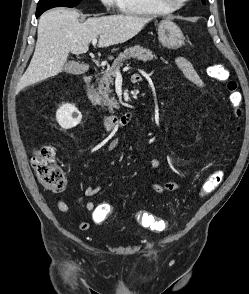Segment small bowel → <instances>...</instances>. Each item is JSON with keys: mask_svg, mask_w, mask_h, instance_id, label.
Listing matches in <instances>:
<instances>
[{"mask_svg": "<svg viewBox=\"0 0 249 294\" xmlns=\"http://www.w3.org/2000/svg\"><path fill=\"white\" fill-rule=\"evenodd\" d=\"M176 66L182 71L187 80H189L192 84L196 85L199 88H203L204 83L199 77L193 65L184 57L178 56L175 58ZM135 76V75H134ZM133 76V81H134ZM135 82V81H134ZM119 144V139L114 138L110 141L108 145V150L111 151L115 149ZM161 165V161L158 158H152L150 160V169L156 170ZM181 183L175 181H167V182H159L153 181L150 184V188L154 193L163 194L166 192L176 191L181 188ZM101 190L100 185H91L85 188L84 194L87 197L95 196ZM57 208L59 211L66 213L70 210V205L65 202L63 199H58ZM109 206L108 203H95L93 201H88L85 204L86 211L90 214L92 222L95 224L102 223L105 219H107L110 213H107L106 208ZM80 230L86 231L90 228V223L87 221L80 222L79 224Z\"/></svg>", "mask_w": 249, "mask_h": 294, "instance_id": "c3829d8e", "label": "small bowel"}]
</instances>
